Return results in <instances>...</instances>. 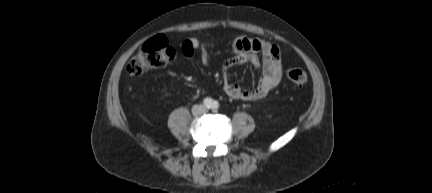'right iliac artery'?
I'll list each match as a JSON object with an SVG mask.
<instances>
[{"label":"right iliac artery","instance_id":"obj_1","mask_svg":"<svg viewBox=\"0 0 432 193\" xmlns=\"http://www.w3.org/2000/svg\"><path fill=\"white\" fill-rule=\"evenodd\" d=\"M212 103H213V101H212L211 98H205L204 101H203V104H204L207 108H210L211 105H212Z\"/></svg>","mask_w":432,"mask_h":193}]
</instances>
